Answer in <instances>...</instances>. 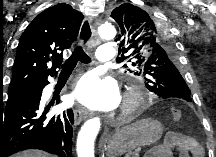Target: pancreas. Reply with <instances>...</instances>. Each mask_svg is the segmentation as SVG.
I'll use <instances>...</instances> for the list:
<instances>
[{
	"instance_id": "cf45deb5",
	"label": "pancreas",
	"mask_w": 216,
	"mask_h": 157,
	"mask_svg": "<svg viewBox=\"0 0 216 157\" xmlns=\"http://www.w3.org/2000/svg\"><path fill=\"white\" fill-rule=\"evenodd\" d=\"M126 157H139V150L129 153Z\"/></svg>"
}]
</instances>
